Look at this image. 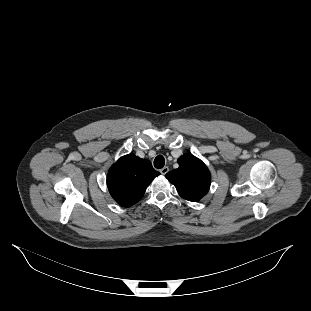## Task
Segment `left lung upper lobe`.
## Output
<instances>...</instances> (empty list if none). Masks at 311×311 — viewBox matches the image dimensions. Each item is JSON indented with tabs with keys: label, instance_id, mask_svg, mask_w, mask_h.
Wrapping results in <instances>:
<instances>
[{
	"label": "left lung upper lobe",
	"instance_id": "obj_1",
	"mask_svg": "<svg viewBox=\"0 0 311 311\" xmlns=\"http://www.w3.org/2000/svg\"><path fill=\"white\" fill-rule=\"evenodd\" d=\"M179 167L166 174L180 196L186 200L199 201L210 188L211 175L205 164L192 154L178 159Z\"/></svg>",
	"mask_w": 311,
	"mask_h": 311
}]
</instances>
